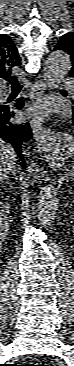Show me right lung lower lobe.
Returning <instances> with one entry per match:
<instances>
[{"label": "right lung lower lobe", "mask_w": 74, "mask_h": 366, "mask_svg": "<svg viewBox=\"0 0 74 366\" xmlns=\"http://www.w3.org/2000/svg\"><path fill=\"white\" fill-rule=\"evenodd\" d=\"M23 100L19 99L16 103L17 108L23 107ZM14 116L7 105L0 102V139H3L13 145L17 152L22 168H26V162L22 154V145L32 137V130L28 123L16 125L11 122Z\"/></svg>", "instance_id": "1"}]
</instances>
